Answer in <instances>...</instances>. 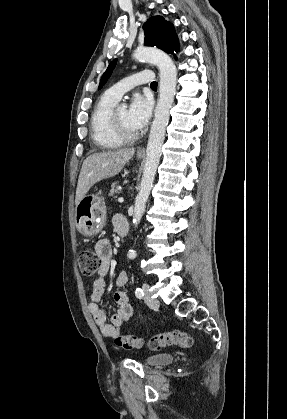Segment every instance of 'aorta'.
I'll return each instance as SVG.
<instances>
[{
    "mask_svg": "<svg viewBox=\"0 0 287 419\" xmlns=\"http://www.w3.org/2000/svg\"><path fill=\"white\" fill-rule=\"evenodd\" d=\"M140 61L154 63L160 72L159 99L155 108L154 120L151 125L149 140L146 149V160L139 192L135 198L133 224L140 223L150 195L157 167L161 156V148L165 139V131L169 121V112L172 107L175 91L177 71L172 59L163 51L139 47L133 54ZM136 253L130 250L128 257L135 258Z\"/></svg>",
    "mask_w": 287,
    "mask_h": 419,
    "instance_id": "1",
    "label": "aorta"
}]
</instances>
